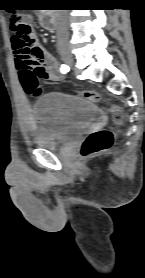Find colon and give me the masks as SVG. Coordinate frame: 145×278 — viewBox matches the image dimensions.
I'll return each mask as SVG.
<instances>
[{
	"label": "colon",
	"mask_w": 145,
	"mask_h": 278,
	"mask_svg": "<svg viewBox=\"0 0 145 278\" xmlns=\"http://www.w3.org/2000/svg\"><path fill=\"white\" fill-rule=\"evenodd\" d=\"M8 23L10 29L22 40L21 44L24 47H27L32 36V31L29 26L16 14H11L9 16ZM38 89V76H34L31 78V85L26 87V92L28 94H33L38 91ZM81 95L94 102L100 100V95L96 92H83ZM110 111L117 122H121L123 120V114L120 108L113 106ZM112 142L113 134L110 130L101 129L91 132L82 143L81 155L84 158L92 157L97 153L108 149Z\"/></svg>",
	"instance_id": "obj_1"
}]
</instances>
